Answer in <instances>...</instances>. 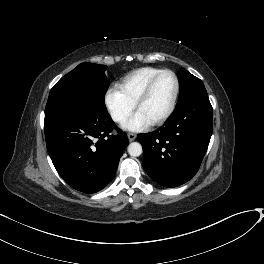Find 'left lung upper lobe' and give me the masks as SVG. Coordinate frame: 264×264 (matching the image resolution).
I'll return each instance as SVG.
<instances>
[{"mask_svg": "<svg viewBox=\"0 0 264 264\" xmlns=\"http://www.w3.org/2000/svg\"><path fill=\"white\" fill-rule=\"evenodd\" d=\"M178 79L180 94L176 108L191 98L208 95L202 81L186 69L179 70Z\"/></svg>", "mask_w": 264, "mask_h": 264, "instance_id": "left-lung-upper-lobe-1", "label": "left lung upper lobe"}]
</instances>
